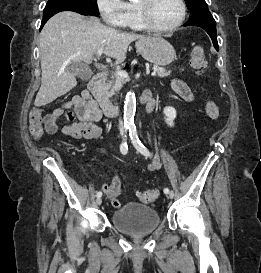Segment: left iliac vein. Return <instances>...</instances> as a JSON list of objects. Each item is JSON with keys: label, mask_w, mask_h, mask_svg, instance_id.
<instances>
[{"label": "left iliac vein", "mask_w": 261, "mask_h": 273, "mask_svg": "<svg viewBox=\"0 0 261 273\" xmlns=\"http://www.w3.org/2000/svg\"><path fill=\"white\" fill-rule=\"evenodd\" d=\"M167 194H168V197H169V198H173V196H174L173 191H171V192H169V193H167Z\"/></svg>", "instance_id": "obj_1"}]
</instances>
